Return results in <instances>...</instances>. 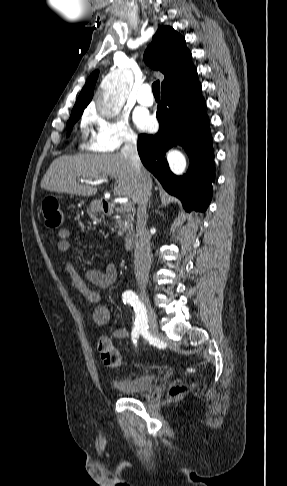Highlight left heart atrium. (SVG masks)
I'll use <instances>...</instances> for the list:
<instances>
[{
	"mask_svg": "<svg viewBox=\"0 0 287 486\" xmlns=\"http://www.w3.org/2000/svg\"><path fill=\"white\" fill-rule=\"evenodd\" d=\"M136 123L140 128L146 129L152 124V120L149 116L143 115L136 119Z\"/></svg>",
	"mask_w": 287,
	"mask_h": 486,
	"instance_id": "left-heart-atrium-1",
	"label": "left heart atrium"
}]
</instances>
